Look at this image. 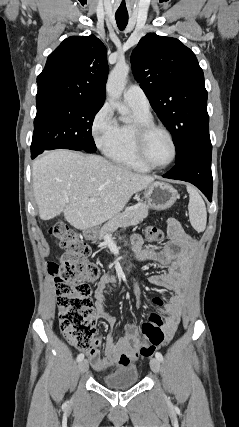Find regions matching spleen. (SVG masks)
Returning <instances> with one entry per match:
<instances>
[{
    "label": "spleen",
    "instance_id": "3e777b00",
    "mask_svg": "<svg viewBox=\"0 0 239 427\" xmlns=\"http://www.w3.org/2000/svg\"><path fill=\"white\" fill-rule=\"evenodd\" d=\"M187 192L189 193V219L192 227L197 232H203L206 228L207 212L205 203L195 188L187 185Z\"/></svg>",
    "mask_w": 239,
    "mask_h": 427
}]
</instances>
